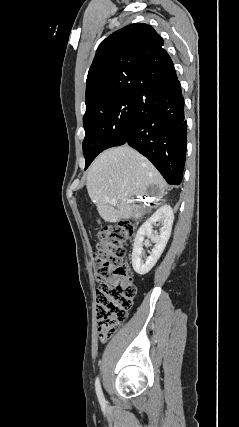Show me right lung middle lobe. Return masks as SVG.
I'll list each match as a JSON object with an SVG mask.
<instances>
[{"instance_id": "obj_1", "label": "right lung middle lobe", "mask_w": 239, "mask_h": 427, "mask_svg": "<svg viewBox=\"0 0 239 427\" xmlns=\"http://www.w3.org/2000/svg\"><path fill=\"white\" fill-rule=\"evenodd\" d=\"M138 97L125 96L94 103L83 117L85 169L107 148L119 146L127 138Z\"/></svg>"}]
</instances>
